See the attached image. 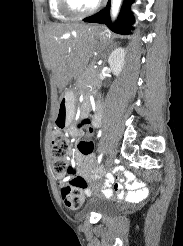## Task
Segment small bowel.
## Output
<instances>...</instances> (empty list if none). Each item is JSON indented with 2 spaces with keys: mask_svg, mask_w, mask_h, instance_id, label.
Returning <instances> with one entry per match:
<instances>
[{
  "mask_svg": "<svg viewBox=\"0 0 183 246\" xmlns=\"http://www.w3.org/2000/svg\"><path fill=\"white\" fill-rule=\"evenodd\" d=\"M69 133L72 136L77 135V130L75 128H70ZM74 162L78 168V174L84 177L86 180L98 179L99 175L94 171V161L95 157H84L81 152L77 150L74 152ZM122 170H125V165H116V169H111V174H116L115 178L119 179V182H111L113 180V175L107 174L106 178L109 182L105 183L102 187L103 193L108 196V198H125L127 200H138L142 198H149L148 190L142 187L140 181L134 180V174H122ZM124 179H127L125 188L123 186ZM128 190V192H127ZM92 189L88 188L84 190L86 195L91 194ZM116 192V193H114Z\"/></svg>",
  "mask_w": 183,
  "mask_h": 246,
  "instance_id": "1",
  "label": "small bowel"
}]
</instances>
